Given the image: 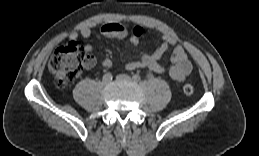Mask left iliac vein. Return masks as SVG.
<instances>
[{"instance_id": "left-iliac-vein-1", "label": "left iliac vein", "mask_w": 259, "mask_h": 156, "mask_svg": "<svg viewBox=\"0 0 259 156\" xmlns=\"http://www.w3.org/2000/svg\"><path fill=\"white\" fill-rule=\"evenodd\" d=\"M117 80L131 81V77L126 74H120L116 77Z\"/></svg>"}]
</instances>
